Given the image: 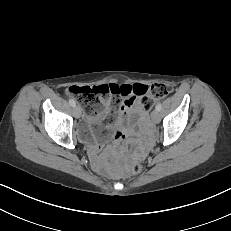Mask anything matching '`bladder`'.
<instances>
[{
    "label": "bladder",
    "mask_w": 231,
    "mask_h": 231,
    "mask_svg": "<svg viewBox=\"0 0 231 231\" xmlns=\"http://www.w3.org/2000/svg\"><path fill=\"white\" fill-rule=\"evenodd\" d=\"M95 130L88 129V128H81L79 127L76 131V135L78 137V139L83 142V143H90L93 138H94V134H95Z\"/></svg>",
    "instance_id": "obj_1"
}]
</instances>
